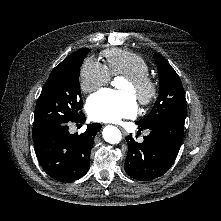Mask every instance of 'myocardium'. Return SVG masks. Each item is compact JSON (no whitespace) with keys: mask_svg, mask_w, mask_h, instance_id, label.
Instances as JSON below:
<instances>
[{"mask_svg":"<svg viewBox=\"0 0 221 221\" xmlns=\"http://www.w3.org/2000/svg\"><path fill=\"white\" fill-rule=\"evenodd\" d=\"M125 80L137 92V100L141 106L149 105L156 98L158 86L155 79L148 73L125 76Z\"/></svg>","mask_w":221,"mask_h":221,"instance_id":"1","label":"myocardium"}]
</instances>
